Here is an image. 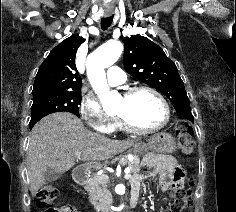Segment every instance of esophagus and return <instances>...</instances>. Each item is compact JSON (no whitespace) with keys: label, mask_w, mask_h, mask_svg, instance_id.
<instances>
[{"label":"esophagus","mask_w":236,"mask_h":212,"mask_svg":"<svg viewBox=\"0 0 236 212\" xmlns=\"http://www.w3.org/2000/svg\"><path fill=\"white\" fill-rule=\"evenodd\" d=\"M110 15H111L110 12L105 13V16H110Z\"/></svg>","instance_id":"1"}]
</instances>
